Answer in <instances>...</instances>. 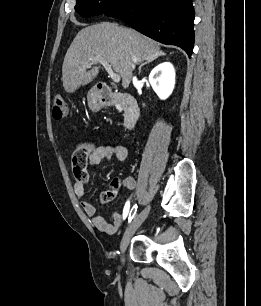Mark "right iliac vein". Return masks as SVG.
<instances>
[{"label": "right iliac vein", "instance_id": "63e3f726", "mask_svg": "<svg viewBox=\"0 0 261 306\" xmlns=\"http://www.w3.org/2000/svg\"><path fill=\"white\" fill-rule=\"evenodd\" d=\"M150 211V206H147L143 211H141L131 222V224L127 227V229L124 232L121 244H120V250H121V262L124 263V253L129 245L130 239L134 235V233L137 231V229L141 226V224L144 222V220L147 218Z\"/></svg>", "mask_w": 261, "mask_h": 306}]
</instances>
